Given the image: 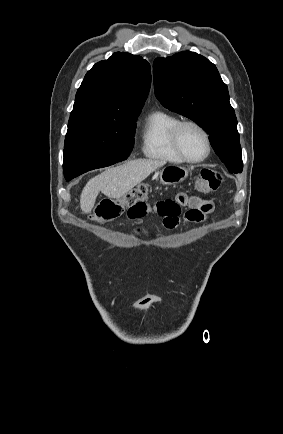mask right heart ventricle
<instances>
[{"instance_id":"right-heart-ventricle-1","label":"right heart ventricle","mask_w":283,"mask_h":434,"mask_svg":"<svg viewBox=\"0 0 283 434\" xmlns=\"http://www.w3.org/2000/svg\"><path fill=\"white\" fill-rule=\"evenodd\" d=\"M179 121L178 117L166 111H155L149 114L142 130L143 154L165 163L184 162L175 152L171 139L172 130Z\"/></svg>"}]
</instances>
